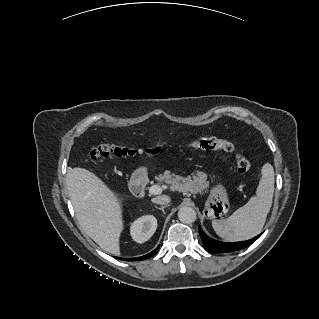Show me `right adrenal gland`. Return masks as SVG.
Here are the masks:
<instances>
[{"instance_id":"right-adrenal-gland-1","label":"right adrenal gland","mask_w":319,"mask_h":319,"mask_svg":"<svg viewBox=\"0 0 319 319\" xmlns=\"http://www.w3.org/2000/svg\"><path fill=\"white\" fill-rule=\"evenodd\" d=\"M169 206V205H165V206H161V207H157L155 206L156 209L162 210V212L165 214L164 209Z\"/></svg>"}]
</instances>
